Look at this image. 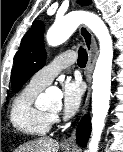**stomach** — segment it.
Wrapping results in <instances>:
<instances>
[{"label": "stomach", "mask_w": 123, "mask_h": 152, "mask_svg": "<svg viewBox=\"0 0 123 152\" xmlns=\"http://www.w3.org/2000/svg\"><path fill=\"white\" fill-rule=\"evenodd\" d=\"M65 152H69V149H65Z\"/></svg>", "instance_id": "0dacf381"}]
</instances>
